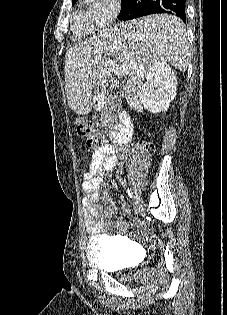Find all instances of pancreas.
<instances>
[{"mask_svg": "<svg viewBox=\"0 0 227 315\" xmlns=\"http://www.w3.org/2000/svg\"><path fill=\"white\" fill-rule=\"evenodd\" d=\"M101 120L105 126H110L111 122V111L107 108L101 110Z\"/></svg>", "mask_w": 227, "mask_h": 315, "instance_id": "obj_1", "label": "pancreas"}]
</instances>
